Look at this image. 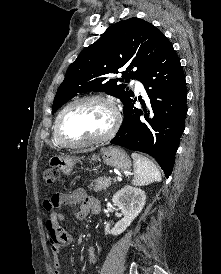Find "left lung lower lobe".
<instances>
[{
  "instance_id": "0a47b994",
  "label": "left lung lower lobe",
  "mask_w": 221,
  "mask_h": 274,
  "mask_svg": "<svg viewBox=\"0 0 221 274\" xmlns=\"http://www.w3.org/2000/svg\"><path fill=\"white\" fill-rule=\"evenodd\" d=\"M149 96L143 110L131 99L112 144L154 157L165 176L172 172L180 137L185 129L187 88L178 55L169 44L138 79Z\"/></svg>"
}]
</instances>
